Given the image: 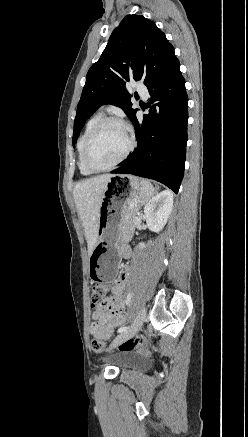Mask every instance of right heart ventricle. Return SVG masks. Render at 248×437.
Instances as JSON below:
<instances>
[{"label":"right heart ventricle","mask_w":248,"mask_h":437,"mask_svg":"<svg viewBox=\"0 0 248 437\" xmlns=\"http://www.w3.org/2000/svg\"><path fill=\"white\" fill-rule=\"evenodd\" d=\"M103 118L102 113L97 112L95 114H93L86 122L83 132L78 140L77 143V151H78V168L80 170V173L82 175L88 176L93 174L92 171H90L84 164L83 161V147H84V143L85 140L87 138V136L89 135L90 131L92 130V128L95 126V124Z\"/></svg>","instance_id":"right-heart-ventricle-1"}]
</instances>
